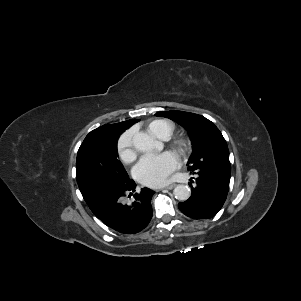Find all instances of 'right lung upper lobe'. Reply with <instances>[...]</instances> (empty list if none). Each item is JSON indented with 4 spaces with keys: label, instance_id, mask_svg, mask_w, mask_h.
Masks as SVG:
<instances>
[{
    "label": "right lung upper lobe",
    "instance_id": "right-lung-upper-lobe-1",
    "mask_svg": "<svg viewBox=\"0 0 301 301\" xmlns=\"http://www.w3.org/2000/svg\"><path fill=\"white\" fill-rule=\"evenodd\" d=\"M138 122L137 119H132V120H127L124 122L116 123V124H106L103 125L93 131L90 132L92 133H102L104 135H107L110 138H118L119 135L124 132L127 128H129L131 125L134 123Z\"/></svg>",
    "mask_w": 301,
    "mask_h": 301
}]
</instances>
